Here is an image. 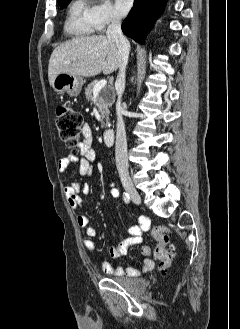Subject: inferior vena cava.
I'll use <instances>...</instances> for the list:
<instances>
[{
	"label": "inferior vena cava",
	"mask_w": 240,
	"mask_h": 329,
	"mask_svg": "<svg viewBox=\"0 0 240 329\" xmlns=\"http://www.w3.org/2000/svg\"><path fill=\"white\" fill-rule=\"evenodd\" d=\"M107 37L115 41L119 52V74L115 82V88L118 93L116 102L117 129H116V145L115 158L116 167L120 175L128 176V158H127V140L125 124L123 121V108L121 106V97L125 89V70L128 63L130 43L123 35L121 30V20L114 16L107 28Z\"/></svg>",
	"instance_id": "1"
}]
</instances>
